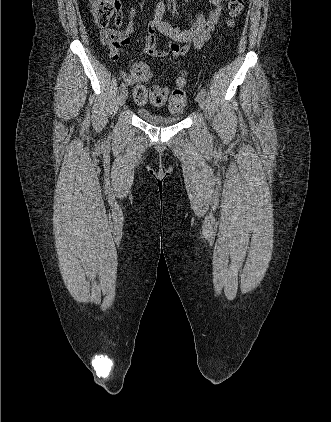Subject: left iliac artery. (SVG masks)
Returning <instances> with one entry per match:
<instances>
[{
  "label": "left iliac artery",
  "instance_id": "44dca946",
  "mask_svg": "<svg viewBox=\"0 0 331 422\" xmlns=\"http://www.w3.org/2000/svg\"><path fill=\"white\" fill-rule=\"evenodd\" d=\"M201 93L205 96L206 95V89L205 88H201Z\"/></svg>",
  "mask_w": 331,
  "mask_h": 422
}]
</instances>
